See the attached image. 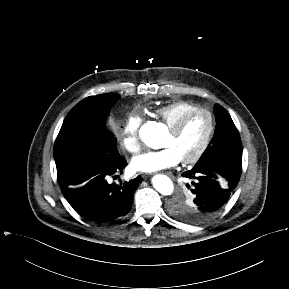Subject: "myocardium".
<instances>
[{
	"label": "myocardium",
	"mask_w": 289,
	"mask_h": 289,
	"mask_svg": "<svg viewBox=\"0 0 289 289\" xmlns=\"http://www.w3.org/2000/svg\"><path fill=\"white\" fill-rule=\"evenodd\" d=\"M200 113H204L208 116L209 121H210V128L208 131V134L203 142V144L201 145V147L196 151V153H194L192 156L188 157V158H184L181 159V162L184 164H194L196 162H198L203 155L206 153V151L208 150L212 139L214 137L215 134V130H216V119L215 116L213 115V113L206 109V108H196L193 110H190L186 113H184L173 125H171L169 127V131L176 135L178 133L181 132V130L183 129V127L185 126V124L187 123V121L194 115L196 114H200Z\"/></svg>",
	"instance_id": "obj_1"
}]
</instances>
